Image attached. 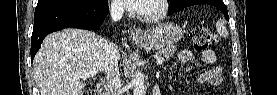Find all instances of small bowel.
<instances>
[{
	"label": "small bowel",
	"mask_w": 277,
	"mask_h": 95,
	"mask_svg": "<svg viewBox=\"0 0 277 95\" xmlns=\"http://www.w3.org/2000/svg\"><path fill=\"white\" fill-rule=\"evenodd\" d=\"M202 62L206 65H214L216 62L215 53L212 50L202 51L198 55ZM194 59V54L191 51H182L178 56V63L184 65ZM222 69L218 66L212 67L201 75L202 82L218 84L222 77Z\"/></svg>",
	"instance_id": "obj_1"
}]
</instances>
